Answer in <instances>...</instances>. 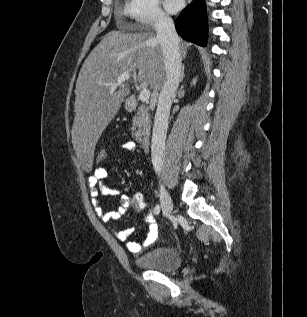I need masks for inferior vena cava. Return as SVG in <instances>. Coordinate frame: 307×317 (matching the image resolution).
Returning <instances> with one entry per match:
<instances>
[{
	"label": "inferior vena cava",
	"instance_id": "obj_1",
	"mask_svg": "<svg viewBox=\"0 0 307 317\" xmlns=\"http://www.w3.org/2000/svg\"><path fill=\"white\" fill-rule=\"evenodd\" d=\"M154 27L156 38L162 50L166 73V80L158 98L151 141L152 165L155 172L160 174L163 166L168 119L181 77L182 59L179 38L173 20L166 15H160Z\"/></svg>",
	"mask_w": 307,
	"mask_h": 317
}]
</instances>
